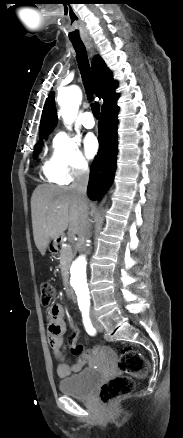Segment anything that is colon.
I'll return each mask as SVG.
<instances>
[{
	"instance_id": "5ec220e1",
	"label": "colon",
	"mask_w": 183,
	"mask_h": 438,
	"mask_svg": "<svg viewBox=\"0 0 183 438\" xmlns=\"http://www.w3.org/2000/svg\"><path fill=\"white\" fill-rule=\"evenodd\" d=\"M55 289L49 281L41 283V304L49 306L54 298ZM118 367L124 375H118L105 382L99 391L100 401L112 406L119 399L129 395L134 389V380L143 379L149 371L147 358L131 346L122 347Z\"/></svg>"
}]
</instances>
